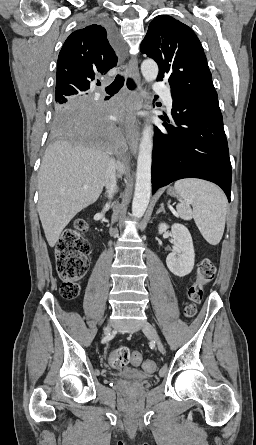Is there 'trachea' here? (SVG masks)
<instances>
[{
	"label": "trachea",
	"instance_id": "obj_1",
	"mask_svg": "<svg viewBox=\"0 0 256 445\" xmlns=\"http://www.w3.org/2000/svg\"><path fill=\"white\" fill-rule=\"evenodd\" d=\"M123 84H124V77L121 75H117L115 80L109 86L106 87V92L108 94L113 95L122 88ZM127 86L131 90L136 88V85L131 78L127 79Z\"/></svg>",
	"mask_w": 256,
	"mask_h": 445
}]
</instances>
